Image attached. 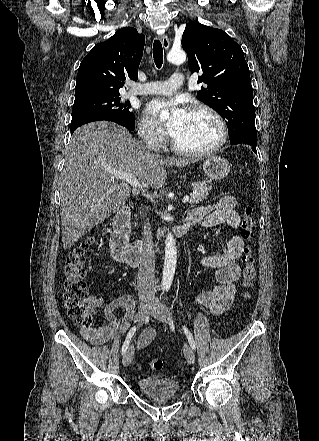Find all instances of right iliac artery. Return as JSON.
I'll use <instances>...</instances> for the list:
<instances>
[{"instance_id":"1","label":"right iliac artery","mask_w":319,"mask_h":441,"mask_svg":"<svg viewBox=\"0 0 319 441\" xmlns=\"http://www.w3.org/2000/svg\"><path fill=\"white\" fill-rule=\"evenodd\" d=\"M135 331H136V327L134 326L128 332V335H127V337H126V339H125V341L123 343L122 349H121V353L122 354H124L126 352V350H127L128 346H129V343H130V341H131Z\"/></svg>"}]
</instances>
